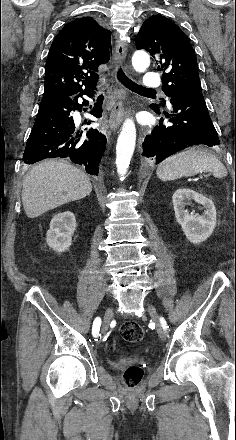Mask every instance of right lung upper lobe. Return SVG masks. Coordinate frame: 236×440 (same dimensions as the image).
I'll return each mask as SVG.
<instances>
[{
    "label": "right lung upper lobe",
    "mask_w": 236,
    "mask_h": 440,
    "mask_svg": "<svg viewBox=\"0 0 236 440\" xmlns=\"http://www.w3.org/2000/svg\"><path fill=\"white\" fill-rule=\"evenodd\" d=\"M110 45V31L90 17L66 24L49 50L42 101L94 92L98 67L109 61Z\"/></svg>",
    "instance_id": "1"
}]
</instances>
